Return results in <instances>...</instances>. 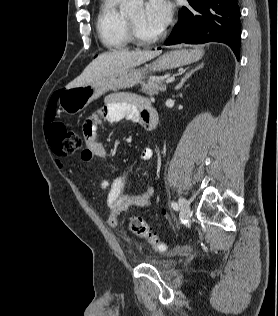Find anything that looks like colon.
Returning <instances> with one entry per match:
<instances>
[{
  "label": "colon",
  "mask_w": 278,
  "mask_h": 316,
  "mask_svg": "<svg viewBox=\"0 0 278 316\" xmlns=\"http://www.w3.org/2000/svg\"><path fill=\"white\" fill-rule=\"evenodd\" d=\"M47 137L53 153L57 156L71 155L76 152L82 144L80 134L60 122H54L48 126ZM129 228L135 235L148 241L157 251H165V244L152 232L142 217H130Z\"/></svg>",
  "instance_id": "1"
}]
</instances>
